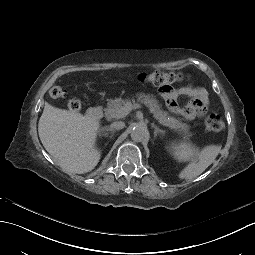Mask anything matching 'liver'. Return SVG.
<instances>
[{"mask_svg":"<svg viewBox=\"0 0 255 255\" xmlns=\"http://www.w3.org/2000/svg\"><path fill=\"white\" fill-rule=\"evenodd\" d=\"M44 105L38 133L45 150L66 171H92L101 159V151L96 148L101 122L48 102Z\"/></svg>","mask_w":255,"mask_h":255,"instance_id":"6515ba94","label":"liver"}]
</instances>
